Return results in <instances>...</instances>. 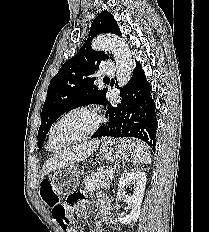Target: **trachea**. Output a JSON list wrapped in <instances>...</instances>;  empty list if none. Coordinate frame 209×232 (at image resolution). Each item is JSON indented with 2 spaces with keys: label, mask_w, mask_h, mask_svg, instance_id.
<instances>
[{
  "label": "trachea",
  "mask_w": 209,
  "mask_h": 232,
  "mask_svg": "<svg viewBox=\"0 0 209 232\" xmlns=\"http://www.w3.org/2000/svg\"><path fill=\"white\" fill-rule=\"evenodd\" d=\"M109 78L108 77H105L104 80H108Z\"/></svg>",
  "instance_id": "obj_1"
}]
</instances>
